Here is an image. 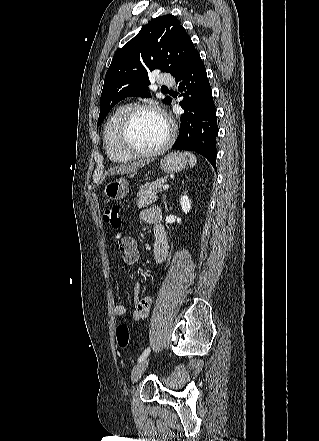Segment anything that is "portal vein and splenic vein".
<instances>
[{
	"instance_id": "obj_1",
	"label": "portal vein and splenic vein",
	"mask_w": 319,
	"mask_h": 441,
	"mask_svg": "<svg viewBox=\"0 0 319 441\" xmlns=\"http://www.w3.org/2000/svg\"><path fill=\"white\" fill-rule=\"evenodd\" d=\"M168 188H169V185H168V184H166V185L163 186V190H164V191H165V190H168Z\"/></svg>"
}]
</instances>
